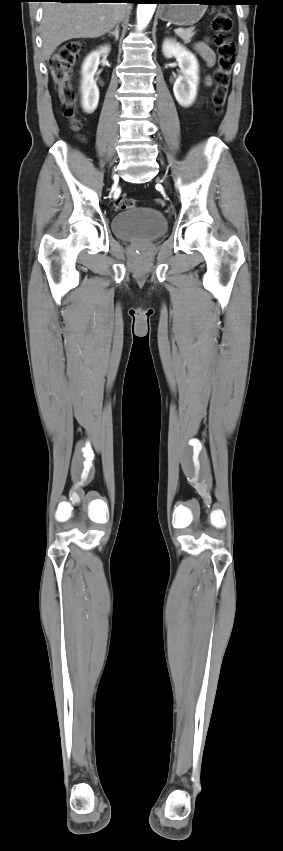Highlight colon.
I'll return each mask as SVG.
<instances>
[{"label":"colon","mask_w":283,"mask_h":851,"mask_svg":"<svg viewBox=\"0 0 283 851\" xmlns=\"http://www.w3.org/2000/svg\"><path fill=\"white\" fill-rule=\"evenodd\" d=\"M211 27L214 32V42L218 53V69L215 76V88L212 94V103L217 114H220L226 103L231 72L236 57V46L232 38L233 22L226 9H220L213 17ZM84 50V43L79 40H71L61 45L48 62V67L54 83L56 84L63 106L64 114L71 119L74 130L80 128V122L75 116V92L71 85V74L73 65ZM155 203L163 207L165 201L162 198L155 199ZM135 202L126 194L118 196L115 200L117 209H129L134 207Z\"/></svg>","instance_id":"colon-1"}]
</instances>
